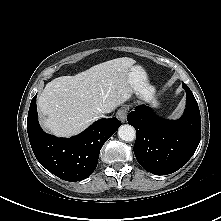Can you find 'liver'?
I'll return each mask as SVG.
<instances>
[{"instance_id": "1", "label": "liver", "mask_w": 221, "mask_h": 221, "mask_svg": "<svg viewBox=\"0 0 221 221\" xmlns=\"http://www.w3.org/2000/svg\"><path fill=\"white\" fill-rule=\"evenodd\" d=\"M135 61L128 57L97 64L75 76H61L47 83L37 105L45 129L59 137L85 130L101 114L110 113L135 93L149 98L154 88H137L130 80Z\"/></svg>"}]
</instances>
